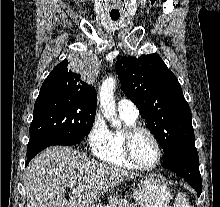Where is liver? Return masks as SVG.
<instances>
[{"label": "liver", "mask_w": 220, "mask_h": 207, "mask_svg": "<svg viewBox=\"0 0 220 207\" xmlns=\"http://www.w3.org/2000/svg\"><path fill=\"white\" fill-rule=\"evenodd\" d=\"M138 174L90 159L65 146L46 148L24 175L27 207H93L108 190ZM76 181L74 187L70 183ZM72 189L70 199L65 194Z\"/></svg>", "instance_id": "1"}]
</instances>
